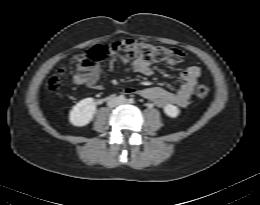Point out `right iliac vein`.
Listing matches in <instances>:
<instances>
[{
    "label": "right iliac vein",
    "instance_id": "right-iliac-vein-1",
    "mask_svg": "<svg viewBox=\"0 0 260 205\" xmlns=\"http://www.w3.org/2000/svg\"><path fill=\"white\" fill-rule=\"evenodd\" d=\"M119 101H120V100H119L118 98L113 97V98L110 99V104H111L112 106H116V105L119 104Z\"/></svg>",
    "mask_w": 260,
    "mask_h": 205
}]
</instances>
